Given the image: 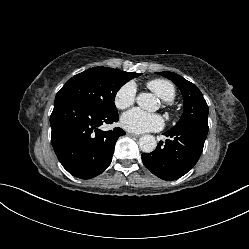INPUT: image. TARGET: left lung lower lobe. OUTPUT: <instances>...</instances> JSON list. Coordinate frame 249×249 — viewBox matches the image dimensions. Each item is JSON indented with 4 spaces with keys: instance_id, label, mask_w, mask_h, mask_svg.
<instances>
[{
    "instance_id": "obj_1",
    "label": "left lung lower lobe",
    "mask_w": 249,
    "mask_h": 249,
    "mask_svg": "<svg viewBox=\"0 0 249 249\" xmlns=\"http://www.w3.org/2000/svg\"><path fill=\"white\" fill-rule=\"evenodd\" d=\"M208 133V121L198 120L164 133L170 137L151 153H143L147 169L161 179L172 181L189 172L197 163Z\"/></svg>"
}]
</instances>
